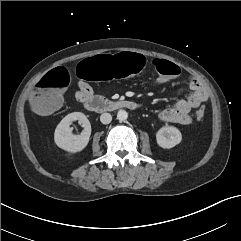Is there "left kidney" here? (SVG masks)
I'll use <instances>...</instances> for the list:
<instances>
[{
  "instance_id": "1",
  "label": "left kidney",
  "mask_w": 241,
  "mask_h": 241,
  "mask_svg": "<svg viewBox=\"0 0 241 241\" xmlns=\"http://www.w3.org/2000/svg\"><path fill=\"white\" fill-rule=\"evenodd\" d=\"M182 140V134L174 126H164L156 133L157 144L165 149H170L179 144Z\"/></svg>"
}]
</instances>
